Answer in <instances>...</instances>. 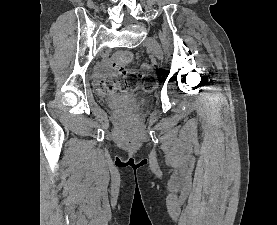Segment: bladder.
<instances>
[{
    "mask_svg": "<svg viewBox=\"0 0 277 225\" xmlns=\"http://www.w3.org/2000/svg\"><path fill=\"white\" fill-rule=\"evenodd\" d=\"M132 104L140 107H146L148 105V101L144 98H135L132 102Z\"/></svg>",
    "mask_w": 277,
    "mask_h": 225,
    "instance_id": "bladder-1",
    "label": "bladder"
}]
</instances>
